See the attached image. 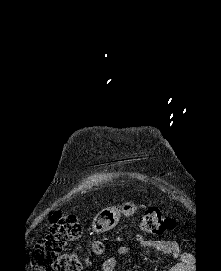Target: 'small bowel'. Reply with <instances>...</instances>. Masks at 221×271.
Wrapping results in <instances>:
<instances>
[{
  "mask_svg": "<svg viewBox=\"0 0 221 271\" xmlns=\"http://www.w3.org/2000/svg\"><path fill=\"white\" fill-rule=\"evenodd\" d=\"M140 245L146 250H157L164 252L173 258L179 256L178 244L174 240L169 239H142ZM118 254H126L128 248L121 246L117 250ZM181 262L170 269V271H189L191 264V256L187 253L180 255ZM116 259L114 257L106 258L101 264V271H114L116 267Z\"/></svg>",
  "mask_w": 221,
  "mask_h": 271,
  "instance_id": "c3829d8e",
  "label": "small bowel"
}]
</instances>
